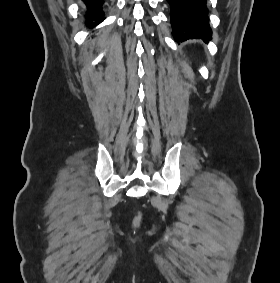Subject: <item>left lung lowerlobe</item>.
I'll use <instances>...</instances> for the list:
<instances>
[{
	"mask_svg": "<svg viewBox=\"0 0 280 283\" xmlns=\"http://www.w3.org/2000/svg\"><path fill=\"white\" fill-rule=\"evenodd\" d=\"M175 41L211 39L206 0H167Z\"/></svg>",
	"mask_w": 280,
	"mask_h": 283,
	"instance_id": "1",
	"label": "left lung lower lobe"
}]
</instances>
